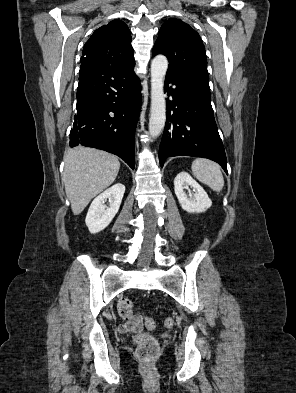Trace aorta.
Segmentation results:
<instances>
[{"mask_svg":"<svg viewBox=\"0 0 296 393\" xmlns=\"http://www.w3.org/2000/svg\"><path fill=\"white\" fill-rule=\"evenodd\" d=\"M168 68V60L164 55H157L151 63V108L149 134L157 137L162 132L166 121V100L164 80Z\"/></svg>","mask_w":296,"mask_h":393,"instance_id":"obj_1","label":"aorta"}]
</instances>
